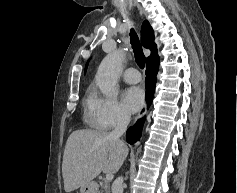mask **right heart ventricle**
I'll use <instances>...</instances> for the list:
<instances>
[{
  "label": "right heart ventricle",
  "instance_id": "right-heart-ventricle-1",
  "mask_svg": "<svg viewBox=\"0 0 237 193\" xmlns=\"http://www.w3.org/2000/svg\"><path fill=\"white\" fill-rule=\"evenodd\" d=\"M91 101H92V93H89L86 96V99H85L86 117H87V120L90 122V124L94 125L93 124L92 114H91V111H90Z\"/></svg>",
  "mask_w": 237,
  "mask_h": 193
}]
</instances>
